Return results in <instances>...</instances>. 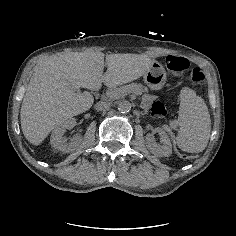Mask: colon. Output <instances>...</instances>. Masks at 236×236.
<instances>
[{"mask_svg": "<svg viewBox=\"0 0 236 236\" xmlns=\"http://www.w3.org/2000/svg\"><path fill=\"white\" fill-rule=\"evenodd\" d=\"M167 69L173 73L181 74L189 68V61L182 56L168 55L165 57ZM189 79L193 84H201L205 80L204 72L201 68L195 67L189 73ZM151 114L155 117L162 118L166 115V107L162 101H155L151 108Z\"/></svg>", "mask_w": 236, "mask_h": 236, "instance_id": "obj_1", "label": "colon"}]
</instances>
